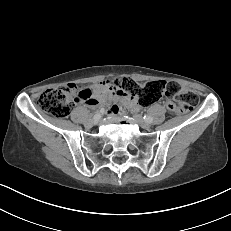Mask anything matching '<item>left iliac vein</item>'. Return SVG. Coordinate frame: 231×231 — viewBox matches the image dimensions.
I'll return each instance as SVG.
<instances>
[{
  "label": "left iliac vein",
  "instance_id": "4c4485c4",
  "mask_svg": "<svg viewBox=\"0 0 231 231\" xmlns=\"http://www.w3.org/2000/svg\"><path fill=\"white\" fill-rule=\"evenodd\" d=\"M134 118L142 128L148 129L150 127V124L147 121L143 120L140 115L136 114L134 115Z\"/></svg>",
  "mask_w": 231,
  "mask_h": 231
}]
</instances>
